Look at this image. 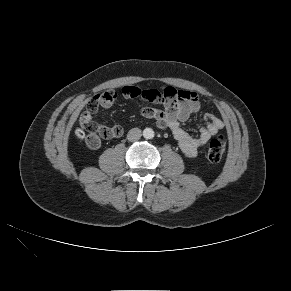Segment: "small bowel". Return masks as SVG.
<instances>
[{"mask_svg": "<svg viewBox=\"0 0 291 291\" xmlns=\"http://www.w3.org/2000/svg\"><path fill=\"white\" fill-rule=\"evenodd\" d=\"M151 93L155 94L153 100L150 99ZM122 95L127 99L140 98L147 102L162 104L163 110L144 107L140 110V115L153 119L161 129H170L182 153L188 158L195 157L199 148L204 146L211 137L215 136L225 126L222 119L213 114H205L203 117L204 125L199 129L198 135L192 136L183 129L182 123L198 113L201 108L198 94L194 91L177 90L173 87H166L163 91H158L126 85L122 88ZM97 96L100 98L98 108H109L117 99V93L114 91H106ZM112 127L119 128L122 134L123 130L120 126ZM87 145L90 149H97L100 146V140L97 141L96 145Z\"/></svg>", "mask_w": 291, "mask_h": 291, "instance_id": "1", "label": "small bowel"}]
</instances>
